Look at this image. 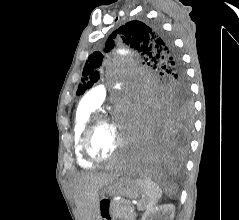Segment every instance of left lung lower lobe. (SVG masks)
I'll use <instances>...</instances> for the list:
<instances>
[{
  "label": "left lung lower lobe",
  "mask_w": 239,
  "mask_h": 220,
  "mask_svg": "<svg viewBox=\"0 0 239 220\" xmlns=\"http://www.w3.org/2000/svg\"><path fill=\"white\" fill-rule=\"evenodd\" d=\"M142 139L130 164L144 172H159L179 166L188 145V128L163 109L151 110L143 119Z\"/></svg>",
  "instance_id": "left-lung-lower-lobe-1"
}]
</instances>
